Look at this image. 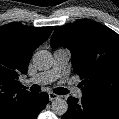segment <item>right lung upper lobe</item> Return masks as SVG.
Segmentation results:
<instances>
[{
	"mask_svg": "<svg viewBox=\"0 0 119 119\" xmlns=\"http://www.w3.org/2000/svg\"><path fill=\"white\" fill-rule=\"evenodd\" d=\"M51 31L17 23L0 27V119H17L33 99L35 94L22 89L18 78L27 73L33 51Z\"/></svg>",
	"mask_w": 119,
	"mask_h": 119,
	"instance_id": "cb5924a9",
	"label": "right lung upper lobe"
}]
</instances>
